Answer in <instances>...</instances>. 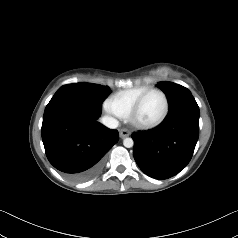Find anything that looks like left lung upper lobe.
<instances>
[{
    "label": "left lung upper lobe",
    "instance_id": "1",
    "mask_svg": "<svg viewBox=\"0 0 238 238\" xmlns=\"http://www.w3.org/2000/svg\"><path fill=\"white\" fill-rule=\"evenodd\" d=\"M158 86L164 89L167 93L171 106L178 103L185 97L192 96L191 92L187 88L172 82H160L158 83Z\"/></svg>",
    "mask_w": 238,
    "mask_h": 238
}]
</instances>
